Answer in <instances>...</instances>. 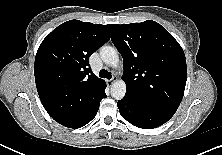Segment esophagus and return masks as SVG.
Masks as SVG:
<instances>
[{"label":"esophagus","instance_id":"esophagus-1","mask_svg":"<svg viewBox=\"0 0 222 155\" xmlns=\"http://www.w3.org/2000/svg\"><path fill=\"white\" fill-rule=\"evenodd\" d=\"M117 80V76H113L110 80H109V82H115Z\"/></svg>","mask_w":222,"mask_h":155}]
</instances>
